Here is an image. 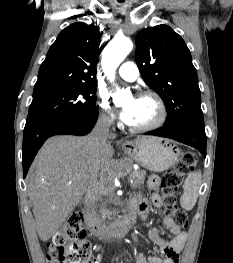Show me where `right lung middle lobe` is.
I'll return each mask as SVG.
<instances>
[{"label":"right lung middle lobe","mask_w":233,"mask_h":263,"mask_svg":"<svg viewBox=\"0 0 233 263\" xmlns=\"http://www.w3.org/2000/svg\"><path fill=\"white\" fill-rule=\"evenodd\" d=\"M96 84L77 85L33 95L25 128L61 117L79 116L96 109Z\"/></svg>","instance_id":"right-lung-middle-lobe-1"}]
</instances>
